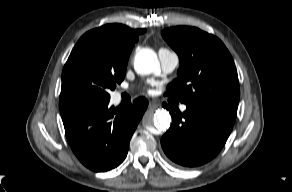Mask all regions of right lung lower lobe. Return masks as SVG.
Wrapping results in <instances>:
<instances>
[{
  "instance_id": "1",
  "label": "right lung lower lobe",
  "mask_w": 292,
  "mask_h": 192,
  "mask_svg": "<svg viewBox=\"0 0 292 192\" xmlns=\"http://www.w3.org/2000/svg\"><path fill=\"white\" fill-rule=\"evenodd\" d=\"M109 101L85 98L60 99V113L71 149L89 169L104 172L117 167L127 156L130 139L148 102L134 100L125 108Z\"/></svg>"
}]
</instances>
